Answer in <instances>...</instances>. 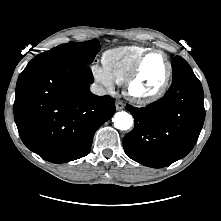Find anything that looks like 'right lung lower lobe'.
Listing matches in <instances>:
<instances>
[{"label": "right lung lower lobe", "instance_id": "1", "mask_svg": "<svg viewBox=\"0 0 221 221\" xmlns=\"http://www.w3.org/2000/svg\"><path fill=\"white\" fill-rule=\"evenodd\" d=\"M88 65L30 61L16 85L14 117L23 143L52 163L86 156L96 130L115 113V100L90 92Z\"/></svg>", "mask_w": 221, "mask_h": 221}]
</instances>
